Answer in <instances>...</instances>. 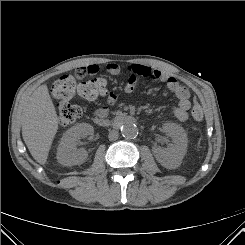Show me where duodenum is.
Wrapping results in <instances>:
<instances>
[{"instance_id": "410a0bca", "label": "duodenum", "mask_w": 245, "mask_h": 245, "mask_svg": "<svg viewBox=\"0 0 245 245\" xmlns=\"http://www.w3.org/2000/svg\"><path fill=\"white\" fill-rule=\"evenodd\" d=\"M136 118L134 116H131L129 114H119L113 119H109L107 117H95L94 122L104 128H117L121 126L122 124L126 123H136Z\"/></svg>"}]
</instances>
